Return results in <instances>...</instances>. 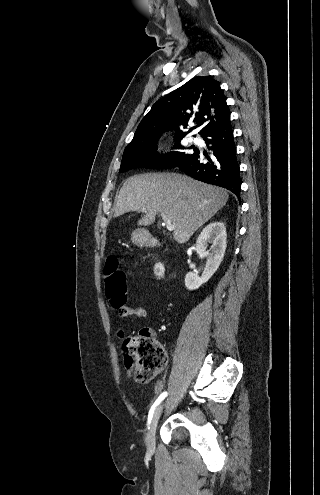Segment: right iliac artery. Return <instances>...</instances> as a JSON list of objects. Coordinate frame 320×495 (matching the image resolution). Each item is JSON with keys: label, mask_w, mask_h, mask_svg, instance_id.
I'll return each instance as SVG.
<instances>
[{"label": "right iliac artery", "mask_w": 320, "mask_h": 495, "mask_svg": "<svg viewBox=\"0 0 320 495\" xmlns=\"http://www.w3.org/2000/svg\"><path fill=\"white\" fill-rule=\"evenodd\" d=\"M167 394L168 393L166 391L162 392L160 396L157 398V400L154 402V404L152 405L148 415V425L151 423L156 406L167 396Z\"/></svg>", "instance_id": "82829eb1"}]
</instances>
